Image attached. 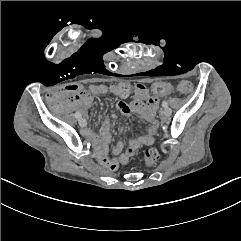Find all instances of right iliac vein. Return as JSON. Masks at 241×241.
I'll use <instances>...</instances> for the list:
<instances>
[{
	"label": "right iliac vein",
	"instance_id": "1",
	"mask_svg": "<svg viewBox=\"0 0 241 241\" xmlns=\"http://www.w3.org/2000/svg\"><path fill=\"white\" fill-rule=\"evenodd\" d=\"M79 125H80L81 127H86V125H87L86 120H85L84 118H80V119H79Z\"/></svg>",
	"mask_w": 241,
	"mask_h": 241
}]
</instances>
